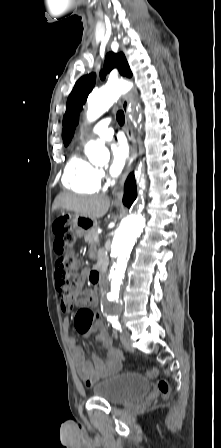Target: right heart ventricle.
Wrapping results in <instances>:
<instances>
[{
    "instance_id": "right-heart-ventricle-1",
    "label": "right heart ventricle",
    "mask_w": 221,
    "mask_h": 448,
    "mask_svg": "<svg viewBox=\"0 0 221 448\" xmlns=\"http://www.w3.org/2000/svg\"><path fill=\"white\" fill-rule=\"evenodd\" d=\"M62 183L76 193H95L100 187L98 169L75 152L64 169Z\"/></svg>"
}]
</instances>
